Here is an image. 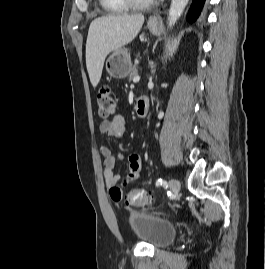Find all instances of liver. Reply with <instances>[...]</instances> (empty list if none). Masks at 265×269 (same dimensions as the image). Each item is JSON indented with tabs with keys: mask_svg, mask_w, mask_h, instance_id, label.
I'll return each mask as SVG.
<instances>
[{
	"mask_svg": "<svg viewBox=\"0 0 265 269\" xmlns=\"http://www.w3.org/2000/svg\"><path fill=\"white\" fill-rule=\"evenodd\" d=\"M144 23L142 14H115L94 19L86 41V66L90 82L96 87L107 55L132 42Z\"/></svg>",
	"mask_w": 265,
	"mask_h": 269,
	"instance_id": "6515ba94",
	"label": "liver"
}]
</instances>
